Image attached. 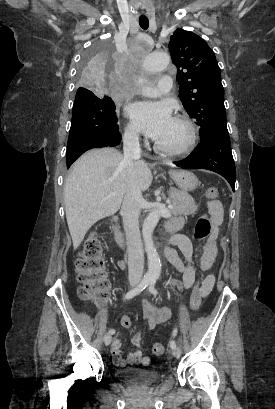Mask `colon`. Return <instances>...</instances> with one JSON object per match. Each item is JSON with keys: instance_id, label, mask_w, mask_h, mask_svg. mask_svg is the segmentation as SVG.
Listing matches in <instances>:
<instances>
[{"instance_id": "1", "label": "colon", "mask_w": 275, "mask_h": 409, "mask_svg": "<svg viewBox=\"0 0 275 409\" xmlns=\"http://www.w3.org/2000/svg\"><path fill=\"white\" fill-rule=\"evenodd\" d=\"M219 195L216 188L207 190V197L215 200ZM211 223L207 215L199 217L195 224L194 236L197 241H204L210 234ZM103 246L102 238L99 232L92 231L83 243L81 255L76 261L77 280L80 287L77 290L81 300L97 301L101 294L110 288V279L104 270L102 259ZM206 292L202 289V283L198 282L195 286L190 300V308L197 310L205 297ZM153 356L162 358L164 356V345L162 342H155L153 345Z\"/></svg>"}]
</instances>
